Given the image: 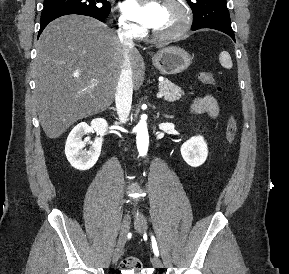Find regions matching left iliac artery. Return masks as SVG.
<instances>
[{
    "label": "left iliac artery",
    "mask_w": 289,
    "mask_h": 274,
    "mask_svg": "<svg viewBox=\"0 0 289 274\" xmlns=\"http://www.w3.org/2000/svg\"><path fill=\"white\" fill-rule=\"evenodd\" d=\"M151 242H152V248H153V252H154L155 256H159V250H158L157 242H156V239L153 235L151 236Z\"/></svg>",
    "instance_id": "1"
}]
</instances>
